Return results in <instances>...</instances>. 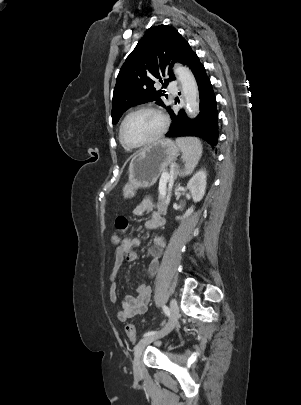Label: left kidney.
I'll return each mask as SVG.
<instances>
[{
	"instance_id": "obj_1",
	"label": "left kidney",
	"mask_w": 301,
	"mask_h": 405,
	"mask_svg": "<svg viewBox=\"0 0 301 405\" xmlns=\"http://www.w3.org/2000/svg\"><path fill=\"white\" fill-rule=\"evenodd\" d=\"M207 180V174L205 170H200L197 172L188 182L187 188L190 191L192 195V199L195 203L200 202L205 194V189H206V182ZM194 211V207L192 206L189 208L183 218H186L190 216ZM176 219H180V217H177Z\"/></svg>"
}]
</instances>
